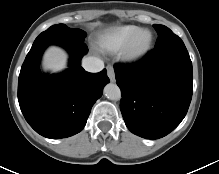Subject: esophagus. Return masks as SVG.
Listing matches in <instances>:
<instances>
[{
    "label": "esophagus",
    "instance_id": "1",
    "mask_svg": "<svg viewBox=\"0 0 219 174\" xmlns=\"http://www.w3.org/2000/svg\"><path fill=\"white\" fill-rule=\"evenodd\" d=\"M107 75L110 79L111 82H115V73H114V69L111 65L107 66Z\"/></svg>",
    "mask_w": 219,
    "mask_h": 174
}]
</instances>
